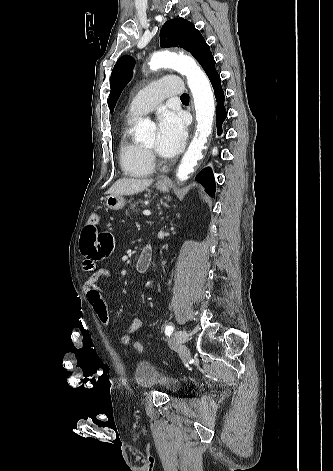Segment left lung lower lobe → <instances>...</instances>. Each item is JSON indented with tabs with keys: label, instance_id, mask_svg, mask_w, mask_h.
Segmentation results:
<instances>
[{
	"label": "left lung lower lobe",
	"instance_id": "left-lung-lower-lobe-1",
	"mask_svg": "<svg viewBox=\"0 0 333 471\" xmlns=\"http://www.w3.org/2000/svg\"><path fill=\"white\" fill-rule=\"evenodd\" d=\"M202 68L206 72L215 93V98L217 101V110H216V122H217V133L220 135L222 133V123L227 117L226 109L224 107V92L221 86V79L219 74L215 69V60L212 54L206 58L202 63ZM196 179L202 182L207 188L210 195L215 194V180L212 173V170L207 167L199 172L196 176Z\"/></svg>",
	"mask_w": 333,
	"mask_h": 471
}]
</instances>
